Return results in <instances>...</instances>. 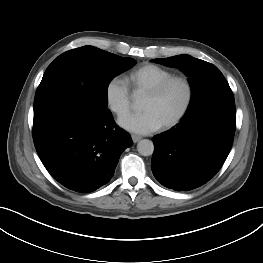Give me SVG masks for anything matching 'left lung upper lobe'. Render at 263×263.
Instances as JSON below:
<instances>
[{
	"mask_svg": "<svg viewBox=\"0 0 263 263\" xmlns=\"http://www.w3.org/2000/svg\"><path fill=\"white\" fill-rule=\"evenodd\" d=\"M152 61L165 66L178 67L189 77L192 97L185 116L193 115L213 103L234 102L228 82L213 64L189 55L153 59Z\"/></svg>",
	"mask_w": 263,
	"mask_h": 263,
	"instance_id": "1",
	"label": "left lung upper lobe"
}]
</instances>
